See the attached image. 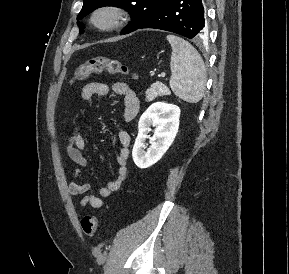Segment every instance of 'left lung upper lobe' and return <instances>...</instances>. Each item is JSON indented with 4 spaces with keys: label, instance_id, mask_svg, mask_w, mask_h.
Instances as JSON below:
<instances>
[{
    "label": "left lung upper lobe",
    "instance_id": "obj_1",
    "mask_svg": "<svg viewBox=\"0 0 289 274\" xmlns=\"http://www.w3.org/2000/svg\"><path fill=\"white\" fill-rule=\"evenodd\" d=\"M165 0H83V7L77 19H81L93 10L114 5L124 8L130 13L131 22L123 30V34L130 33L147 21ZM80 33L84 32L83 24L79 23Z\"/></svg>",
    "mask_w": 289,
    "mask_h": 274
}]
</instances>
